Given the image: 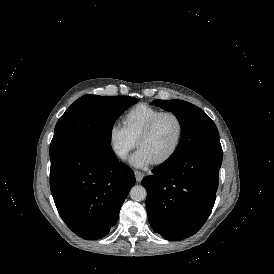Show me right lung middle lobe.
<instances>
[{"label":"right lung middle lobe","mask_w":274,"mask_h":274,"mask_svg":"<svg viewBox=\"0 0 274 274\" xmlns=\"http://www.w3.org/2000/svg\"><path fill=\"white\" fill-rule=\"evenodd\" d=\"M139 100L129 96L85 95L58 120L50 144V160L84 148H111L115 120Z\"/></svg>","instance_id":"obj_1"}]
</instances>
